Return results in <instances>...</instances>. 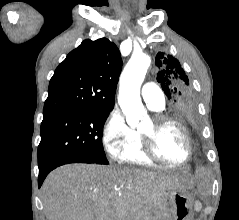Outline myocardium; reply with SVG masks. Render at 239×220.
Returning a JSON list of instances; mask_svg holds the SVG:
<instances>
[{
    "label": "myocardium",
    "mask_w": 239,
    "mask_h": 220,
    "mask_svg": "<svg viewBox=\"0 0 239 220\" xmlns=\"http://www.w3.org/2000/svg\"><path fill=\"white\" fill-rule=\"evenodd\" d=\"M150 121L153 128L152 132L146 133L139 130L141 135L142 148L146 156H148L153 161L160 162L169 166L177 167L188 163L192 157V143L187 128L178 120L164 114H155L150 118ZM167 125H173L177 127L184 137L187 146V156L183 161H170L161 156L156 148L155 133L156 131Z\"/></svg>",
    "instance_id": "f54148a6"
}]
</instances>
